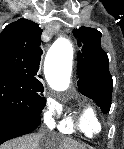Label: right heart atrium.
Masks as SVG:
<instances>
[{"mask_svg":"<svg viewBox=\"0 0 124 149\" xmlns=\"http://www.w3.org/2000/svg\"><path fill=\"white\" fill-rule=\"evenodd\" d=\"M55 106L51 103L48 104V107L43 112V121L48 127H53L55 125Z\"/></svg>","mask_w":124,"mask_h":149,"instance_id":"right-heart-atrium-1","label":"right heart atrium"}]
</instances>
